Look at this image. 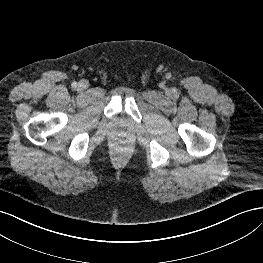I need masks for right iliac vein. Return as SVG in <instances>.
<instances>
[{
    "instance_id": "obj_1",
    "label": "right iliac vein",
    "mask_w": 263,
    "mask_h": 263,
    "mask_svg": "<svg viewBox=\"0 0 263 263\" xmlns=\"http://www.w3.org/2000/svg\"><path fill=\"white\" fill-rule=\"evenodd\" d=\"M88 81L87 80H82V81H80L79 83H78V88L80 89V90H84V89H86L87 87H88Z\"/></svg>"
}]
</instances>
